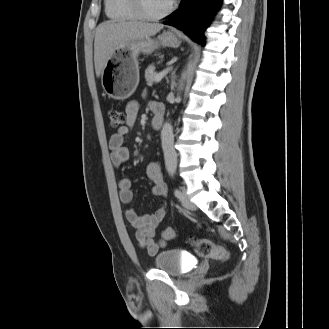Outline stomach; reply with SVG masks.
Instances as JSON below:
<instances>
[{"label": "stomach", "mask_w": 329, "mask_h": 329, "mask_svg": "<svg viewBox=\"0 0 329 329\" xmlns=\"http://www.w3.org/2000/svg\"><path fill=\"white\" fill-rule=\"evenodd\" d=\"M179 45L178 37L171 31L164 32L157 39L149 37L120 44L102 71L101 83L105 93L115 100L129 98L139 83L138 55L151 54L160 46L177 48Z\"/></svg>", "instance_id": "stomach-1"}]
</instances>
